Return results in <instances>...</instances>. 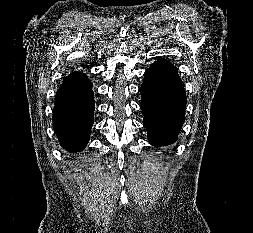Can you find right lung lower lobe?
I'll list each match as a JSON object with an SVG mask.
<instances>
[{"label":"right lung lower lobe","instance_id":"98d812e1","mask_svg":"<svg viewBox=\"0 0 253 233\" xmlns=\"http://www.w3.org/2000/svg\"><path fill=\"white\" fill-rule=\"evenodd\" d=\"M94 117L92 83L86 74L70 73L55 96L53 128L62 147L82 151L90 138Z\"/></svg>","mask_w":253,"mask_h":233}]
</instances>
